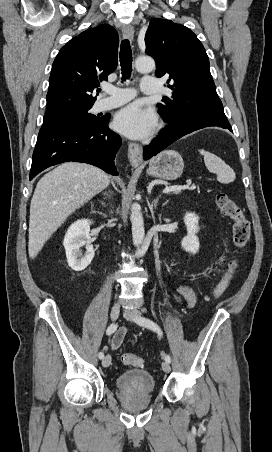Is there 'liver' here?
<instances>
[{"label": "liver", "instance_id": "1", "mask_svg": "<svg viewBox=\"0 0 272 452\" xmlns=\"http://www.w3.org/2000/svg\"><path fill=\"white\" fill-rule=\"evenodd\" d=\"M110 177L100 168L67 162L45 174L37 183L30 204V258H35L46 241L64 221L106 188Z\"/></svg>", "mask_w": 272, "mask_h": 452}]
</instances>
